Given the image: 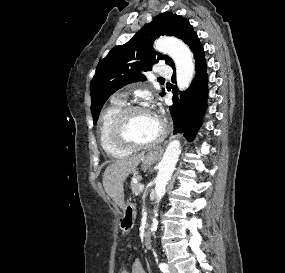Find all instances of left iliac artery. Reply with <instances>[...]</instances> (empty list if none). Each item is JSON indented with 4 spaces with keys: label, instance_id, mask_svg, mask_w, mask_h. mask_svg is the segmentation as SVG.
I'll list each match as a JSON object with an SVG mask.
<instances>
[{
    "label": "left iliac artery",
    "instance_id": "obj_1",
    "mask_svg": "<svg viewBox=\"0 0 285 273\" xmlns=\"http://www.w3.org/2000/svg\"><path fill=\"white\" fill-rule=\"evenodd\" d=\"M159 268L162 272H168V265L166 263H160Z\"/></svg>",
    "mask_w": 285,
    "mask_h": 273
}]
</instances>
